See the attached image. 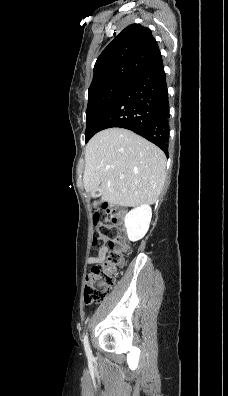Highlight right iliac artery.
<instances>
[{
    "label": "right iliac artery",
    "instance_id": "right-iliac-artery-1",
    "mask_svg": "<svg viewBox=\"0 0 228 396\" xmlns=\"http://www.w3.org/2000/svg\"><path fill=\"white\" fill-rule=\"evenodd\" d=\"M83 342H84V347H85V352H86L87 357L88 358H92V351H91L90 346H89L87 335L84 336Z\"/></svg>",
    "mask_w": 228,
    "mask_h": 396
}]
</instances>
